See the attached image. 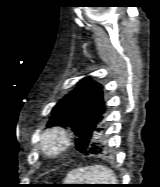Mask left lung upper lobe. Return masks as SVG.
I'll return each instance as SVG.
<instances>
[{
    "instance_id": "left-lung-upper-lobe-1",
    "label": "left lung upper lobe",
    "mask_w": 160,
    "mask_h": 187,
    "mask_svg": "<svg viewBox=\"0 0 160 187\" xmlns=\"http://www.w3.org/2000/svg\"><path fill=\"white\" fill-rule=\"evenodd\" d=\"M104 111L102 86L91 77H84L53 107L48 127H71L77 135V149L86 152Z\"/></svg>"
}]
</instances>
